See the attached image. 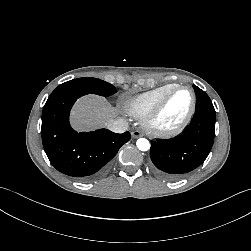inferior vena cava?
Here are the masks:
<instances>
[{
  "instance_id": "inferior-vena-cava-1",
  "label": "inferior vena cava",
  "mask_w": 251,
  "mask_h": 251,
  "mask_svg": "<svg viewBox=\"0 0 251 251\" xmlns=\"http://www.w3.org/2000/svg\"><path fill=\"white\" fill-rule=\"evenodd\" d=\"M109 128L115 133H124L128 129V122L122 118L114 120Z\"/></svg>"
}]
</instances>
